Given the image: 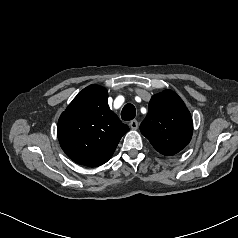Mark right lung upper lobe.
<instances>
[{"mask_svg":"<svg viewBox=\"0 0 238 238\" xmlns=\"http://www.w3.org/2000/svg\"><path fill=\"white\" fill-rule=\"evenodd\" d=\"M108 92L99 85L84 88L61 114L57 135L63 151L74 162L96 167L113 155L129 130L108 106Z\"/></svg>","mask_w":238,"mask_h":238,"instance_id":"obj_1","label":"right lung upper lobe"}]
</instances>
